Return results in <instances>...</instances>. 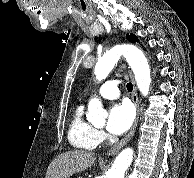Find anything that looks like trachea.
<instances>
[{
	"instance_id": "trachea-1",
	"label": "trachea",
	"mask_w": 194,
	"mask_h": 178,
	"mask_svg": "<svg viewBox=\"0 0 194 178\" xmlns=\"http://www.w3.org/2000/svg\"><path fill=\"white\" fill-rule=\"evenodd\" d=\"M126 87H127V90H128L129 92H131V91L133 90V85H132V83H127Z\"/></svg>"
}]
</instances>
